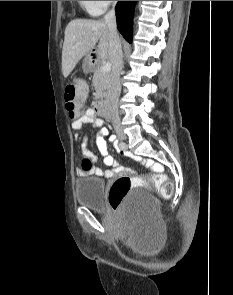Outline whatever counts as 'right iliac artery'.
<instances>
[{
    "label": "right iliac artery",
    "instance_id": "right-iliac-artery-1",
    "mask_svg": "<svg viewBox=\"0 0 233 295\" xmlns=\"http://www.w3.org/2000/svg\"><path fill=\"white\" fill-rule=\"evenodd\" d=\"M118 141V140H117ZM119 148H125V144L124 143H119Z\"/></svg>",
    "mask_w": 233,
    "mask_h": 295
}]
</instances>
